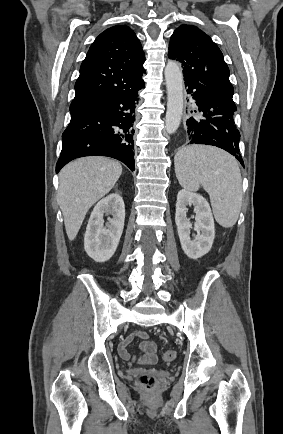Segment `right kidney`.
<instances>
[{
    "mask_svg": "<svg viewBox=\"0 0 283 434\" xmlns=\"http://www.w3.org/2000/svg\"><path fill=\"white\" fill-rule=\"evenodd\" d=\"M104 214L112 215L104 225ZM125 219L122 197L112 193L100 200L94 207L84 236V248L96 262H105L115 253L121 238Z\"/></svg>",
    "mask_w": 283,
    "mask_h": 434,
    "instance_id": "ca27d5eb",
    "label": "right kidney"
}]
</instances>
